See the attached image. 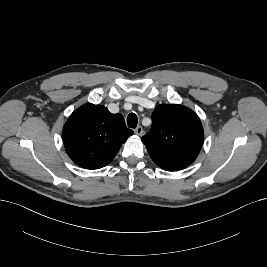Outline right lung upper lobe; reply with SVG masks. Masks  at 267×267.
Segmentation results:
<instances>
[{
  "instance_id": "obj_1",
  "label": "right lung upper lobe",
  "mask_w": 267,
  "mask_h": 267,
  "mask_svg": "<svg viewBox=\"0 0 267 267\" xmlns=\"http://www.w3.org/2000/svg\"><path fill=\"white\" fill-rule=\"evenodd\" d=\"M132 134L121 114L87 103L68 118L63 128V142L74 163L86 169H99L114 159Z\"/></svg>"
}]
</instances>
